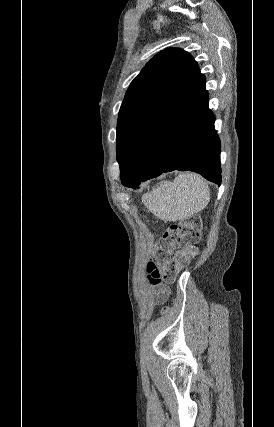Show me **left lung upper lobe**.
I'll list each match as a JSON object with an SVG mask.
<instances>
[{
  "label": "left lung upper lobe",
  "mask_w": 274,
  "mask_h": 427,
  "mask_svg": "<svg viewBox=\"0 0 274 427\" xmlns=\"http://www.w3.org/2000/svg\"><path fill=\"white\" fill-rule=\"evenodd\" d=\"M200 73L186 51H161L132 81L121 105L117 123V161L120 175L132 168L151 126Z\"/></svg>",
  "instance_id": "1"
}]
</instances>
